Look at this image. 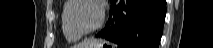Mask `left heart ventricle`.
Listing matches in <instances>:
<instances>
[{"mask_svg": "<svg viewBox=\"0 0 213 48\" xmlns=\"http://www.w3.org/2000/svg\"><path fill=\"white\" fill-rule=\"evenodd\" d=\"M99 19L97 7L87 1H79L73 4L68 14V22L71 28L77 32H85L93 28Z\"/></svg>", "mask_w": 213, "mask_h": 48, "instance_id": "obj_1", "label": "left heart ventricle"}]
</instances>
